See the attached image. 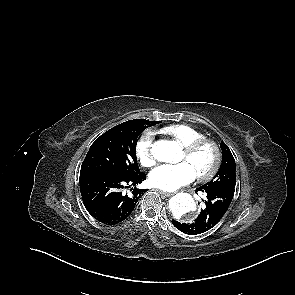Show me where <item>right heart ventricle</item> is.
<instances>
[{
  "mask_svg": "<svg viewBox=\"0 0 295 295\" xmlns=\"http://www.w3.org/2000/svg\"><path fill=\"white\" fill-rule=\"evenodd\" d=\"M161 132L172 137L182 147L205 137L201 131L185 124L169 125L162 128Z\"/></svg>",
  "mask_w": 295,
  "mask_h": 295,
  "instance_id": "1",
  "label": "right heart ventricle"
}]
</instances>
